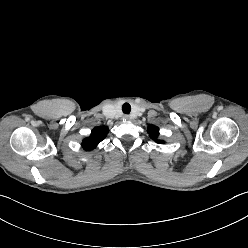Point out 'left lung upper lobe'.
Returning a JSON list of instances; mask_svg holds the SVG:
<instances>
[{
  "instance_id": "obj_1",
  "label": "left lung upper lobe",
  "mask_w": 248,
  "mask_h": 248,
  "mask_svg": "<svg viewBox=\"0 0 248 248\" xmlns=\"http://www.w3.org/2000/svg\"><path fill=\"white\" fill-rule=\"evenodd\" d=\"M148 132H149L150 137L152 139H157V137L159 135V129L156 126H153V125L149 126ZM157 142L158 143H163V141H161V140H157Z\"/></svg>"
}]
</instances>
